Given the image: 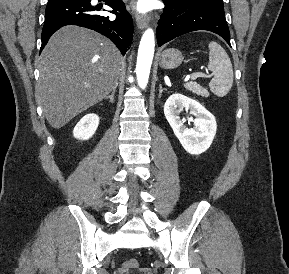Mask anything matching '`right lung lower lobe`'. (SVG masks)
Instances as JSON below:
<instances>
[{
	"label": "right lung lower lobe",
	"mask_w": 289,
	"mask_h": 274,
	"mask_svg": "<svg viewBox=\"0 0 289 274\" xmlns=\"http://www.w3.org/2000/svg\"><path fill=\"white\" fill-rule=\"evenodd\" d=\"M92 0H54L49 1L45 11V23L42 30L41 50L50 36L65 25H78L95 30L108 37L125 55L133 37V21L126 11L122 0H104L113 8L116 19L103 15L101 5ZM100 1V0H99Z\"/></svg>",
	"instance_id": "1"
}]
</instances>
